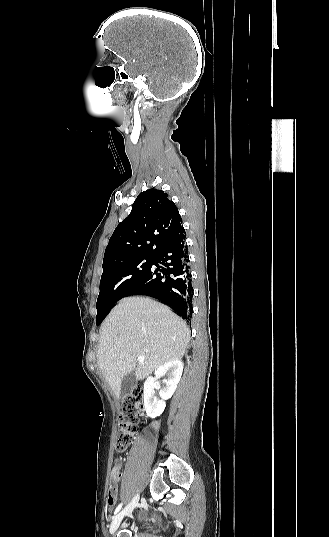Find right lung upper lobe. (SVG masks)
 Returning <instances> with one entry per match:
<instances>
[{"label": "right lung upper lobe", "mask_w": 329, "mask_h": 537, "mask_svg": "<svg viewBox=\"0 0 329 537\" xmlns=\"http://www.w3.org/2000/svg\"><path fill=\"white\" fill-rule=\"evenodd\" d=\"M184 228L174 202L162 190L141 192L132 210L115 229L106 247L103 269L153 257Z\"/></svg>", "instance_id": "1"}]
</instances>
